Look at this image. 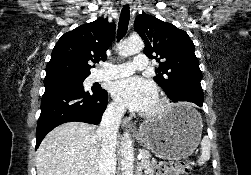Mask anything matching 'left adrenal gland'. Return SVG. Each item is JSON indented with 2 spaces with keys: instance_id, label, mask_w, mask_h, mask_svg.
<instances>
[{
  "instance_id": "obj_1",
  "label": "left adrenal gland",
  "mask_w": 251,
  "mask_h": 175,
  "mask_svg": "<svg viewBox=\"0 0 251 175\" xmlns=\"http://www.w3.org/2000/svg\"><path fill=\"white\" fill-rule=\"evenodd\" d=\"M136 175H143L142 165H141L140 161H137Z\"/></svg>"
}]
</instances>
